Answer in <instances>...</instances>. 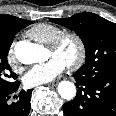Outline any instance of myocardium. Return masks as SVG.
Segmentation results:
<instances>
[{
	"instance_id": "myocardium-1",
	"label": "myocardium",
	"mask_w": 116,
	"mask_h": 116,
	"mask_svg": "<svg viewBox=\"0 0 116 116\" xmlns=\"http://www.w3.org/2000/svg\"><path fill=\"white\" fill-rule=\"evenodd\" d=\"M67 40H73L77 46V56L67 66L71 69H77L83 65L87 57L86 43L80 34L74 31H64L49 44V48L57 51Z\"/></svg>"
}]
</instances>
